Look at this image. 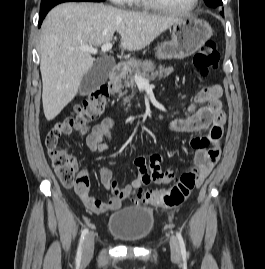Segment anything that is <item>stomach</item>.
Returning <instances> with one entry per match:
<instances>
[{
    "mask_svg": "<svg viewBox=\"0 0 265 269\" xmlns=\"http://www.w3.org/2000/svg\"><path fill=\"white\" fill-rule=\"evenodd\" d=\"M213 30L210 24L201 19L183 18L174 23L172 28V39L162 43L156 56L159 59H183L191 56L212 36ZM143 71L153 70V63L145 61L137 63Z\"/></svg>",
    "mask_w": 265,
    "mask_h": 269,
    "instance_id": "1",
    "label": "stomach"
}]
</instances>
